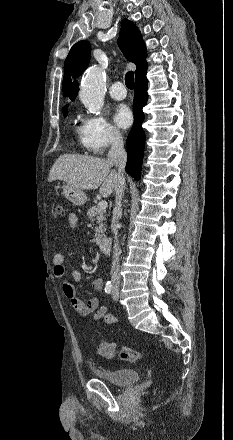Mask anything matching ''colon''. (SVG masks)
<instances>
[{"label": "colon", "instance_id": "1", "mask_svg": "<svg viewBox=\"0 0 233 440\" xmlns=\"http://www.w3.org/2000/svg\"><path fill=\"white\" fill-rule=\"evenodd\" d=\"M63 214V205L61 202H54L52 206V215L55 218L62 216ZM97 351L98 354L104 358L112 359L119 358L123 361L135 362L137 361L141 354L139 351L124 347L118 346L116 343L107 340H101L97 343Z\"/></svg>", "mask_w": 233, "mask_h": 440}]
</instances>
